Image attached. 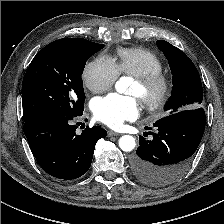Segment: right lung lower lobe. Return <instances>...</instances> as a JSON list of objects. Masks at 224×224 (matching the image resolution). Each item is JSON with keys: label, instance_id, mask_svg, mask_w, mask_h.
Returning <instances> with one entry per match:
<instances>
[{"label": "right lung lower lobe", "instance_id": "98d812e1", "mask_svg": "<svg viewBox=\"0 0 224 224\" xmlns=\"http://www.w3.org/2000/svg\"><path fill=\"white\" fill-rule=\"evenodd\" d=\"M83 115L48 113L24 123V133L41 168L49 175L72 180L90 168L96 142L107 136L100 126L86 128L80 135L72 120Z\"/></svg>", "mask_w": 224, "mask_h": 224}]
</instances>
